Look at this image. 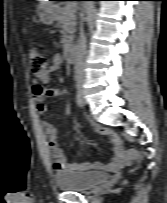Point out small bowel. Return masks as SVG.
Segmentation results:
<instances>
[{"mask_svg":"<svg viewBox=\"0 0 167 203\" xmlns=\"http://www.w3.org/2000/svg\"><path fill=\"white\" fill-rule=\"evenodd\" d=\"M62 65L63 56L61 54H55L53 56L52 66L43 73L34 75L33 77L32 93L35 100L36 110L40 115H43L47 110V107L43 102L45 97H58L62 94V91L59 88H45L43 86L50 81V75L59 71ZM43 129L48 137V147L53 160V168L56 171L68 169L78 171L106 170L109 172H118L121 168L128 165L122 160L124 149L120 137L114 131L102 128L98 124H92L93 131L106 137L114 152V157L109 162L70 163L67 161L64 151L57 142L58 135L55 126L44 121Z\"/></svg>","mask_w":167,"mask_h":203,"instance_id":"obj_1","label":"small bowel"}]
</instances>
